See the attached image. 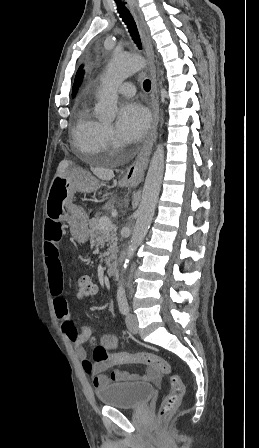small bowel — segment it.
Listing matches in <instances>:
<instances>
[{
  "label": "small bowel",
  "instance_id": "1",
  "mask_svg": "<svg viewBox=\"0 0 259 448\" xmlns=\"http://www.w3.org/2000/svg\"><path fill=\"white\" fill-rule=\"evenodd\" d=\"M61 236V224L53 220L46 221L44 227V256L50 292L53 296V306L62 330L74 343L76 355L82 361L85 372L93 378L94 387L101 389L111 382L149 381L158 377V369L154 366L148 367L147 372L143 375L123 370H115L110 375H106L104 371L113 365L111 362L92 363L88 360L83 344L91 338V329L87 325L82 326L80 331L76 329L71 320L68 302L63 295L62 266L59 258ZM110 310L112 313L114 312L113 308H110ZM101 345L106 349H115L118 345V337L116 335H106L102 338Z\"/></svg>",
  "mask_w": 259,
  "mask_h": 448
}]
</instances>
